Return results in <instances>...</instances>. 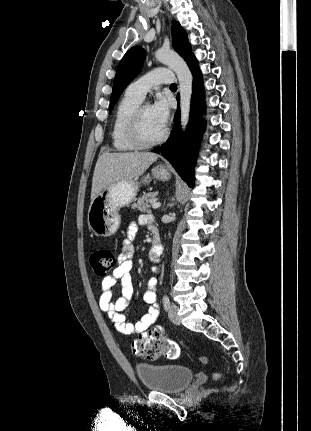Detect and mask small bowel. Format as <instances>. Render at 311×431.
Wrapping results in <instances>:
<instances>
[{
	"label": "small bowel",
	"mask_w": 311,
	"mask_h": 431,
	"mask_svg": "<svg viewBox=\"0 0 311 431\" xmlns=\"http://www.w3.org/2000/svg\"><path fill=\"white\" fill-rule=\"evenodd\" d=\"M138 223L140 225H147L152 231L156 229L153 218L149 215L143 214L139 216ZM137 232V224L132 223L127 230V237L123 242L122 250L119 255V263L111 276L103 279L99 293V307L105 312L115 329L125 335L137 334L141 339L164 340L163 329L156 326L155 322L159 315V306L156 302L157 280L151 278L148 280L144 290V301L149 305L148 313L145 314L135 324L127 322V318L123 313L128 307L133 295V282L131 270L133 267L134 247L132 240ZM160 256V255H159ZM153 257L152 260L156 261L158 257ZM119 281L121 296L113 300L114 287Z\"/></svg>",
	"instance_id": "1"
}]
</instances>
